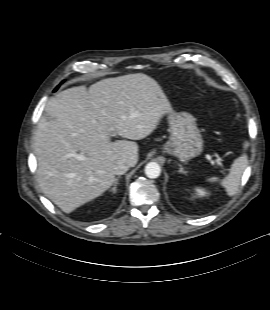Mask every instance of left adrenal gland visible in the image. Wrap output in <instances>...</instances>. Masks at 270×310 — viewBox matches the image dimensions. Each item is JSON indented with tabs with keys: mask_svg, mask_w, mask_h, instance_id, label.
<instances>
[{
	"mask_svg": "<svg viewBox=\"0 0 270 310\" xmlns=\"http://www.w3.org/2000/svg\"><path fill=\"white\" fill-rule=\"evenodd\" d=\"M178 166H179V172H180V173H183V174H186V173H187V171L184 170V168L182 167V165L178 164Z\"/></svg>",
	"mask_w": 270,
	"mask_h": 310,
	"instance_id": "1",
	"label": "left adrenal gland"
}]
</instances>
